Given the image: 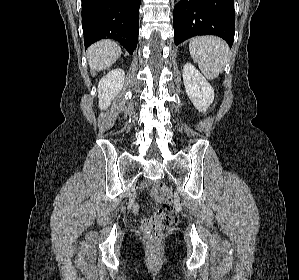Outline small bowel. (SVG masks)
<instances>
[{"label":"small bowel","mask_w":299,"mask_h":280,"mask_svg":"<svg viewBox=\"0 0 299 280\" xmlns=\"http://www.w3.org/2000/svg\"><path fill=\"white\" fill-rule=\"evenodd\" d=\"M157 189H158V185H156V187L153 191V195H157ZM132 211L135 214H137L139 212V207H138L137 204H132ZM151 221H152V219H150V220L149 219H143L141 221V223H142L144 228H147L150 225Z\"/></svg>","instance_id":"c3829d8e"}]
</instances>
